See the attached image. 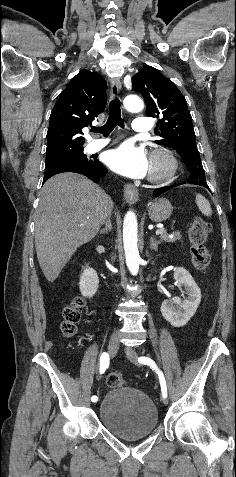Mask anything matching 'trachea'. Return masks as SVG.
I'll return each instance as SVG.
<instances>
[{
    "label": "trachea",
    "instance_id": "1",
    "mask_svg": "<svg viewBox=\"0 0 236 477\" xmlns=\"http://www.w3.org/2000/svg\"><path fill=\"white\" fill-rule=\"evenodd\" d=\"M117 125L123 128L124 121L121 118L120 101L114 99L109 105V116L106 124L101 127H93L91 131L101 133L104 137H107Z\"/></svg>",
    "mask_w": 236,
    "mask_h": 477
}]
</instances>
